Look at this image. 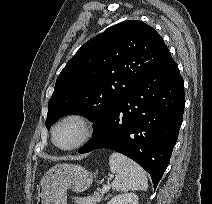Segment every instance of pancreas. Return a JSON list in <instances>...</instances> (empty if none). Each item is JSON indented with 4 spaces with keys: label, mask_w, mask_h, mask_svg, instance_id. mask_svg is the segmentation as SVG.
I'll return each mask as SVG.
<instances>
[{
    "label": "pancreas",
    "mask_w": 212,
    "mask_h": 204,
    "mask_svg": "<svg viewBox=\"0 0 212 204\" xmlns=\"http://www.w3.org/2000/svg\"><path fill=\"white\" fill-rule=\"evenodd\" d=\"M104 198V193L94 192L93 195L87 197L74 198L75 204H97Z\"/></svg>",
    "instance_id": "cf45deb5"
}]
</instances>
